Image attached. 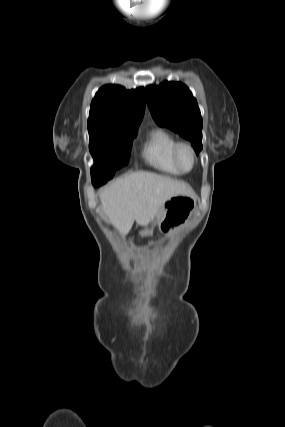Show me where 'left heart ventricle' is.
<instances>
[{"mask_svg": "<svg viewBox=\"0 0 285 427\" xmlns=\"http://www.w3.org/2000/svg\"><path fill=\"white\" fill-rule=\"evenodd\" d=\"M179 160H180V164H181L183 169L188 170L191 168V166H192V155L188 149L184 148L180 151Z\"/></svg>", "mask_w": 285, "mask_h": 427, "instance_id": "1", "label": "left heart ventricle"}]
</instances>
